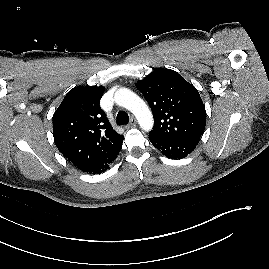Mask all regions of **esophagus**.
Here are the masks:
<instances>
[{
	"instance_id": "34e87169",
	"label": "esophagus",
	"mask_w": 269,
	"mask_h": 269,
	"mask_svg": "<svg viewBox=\"0 0 269 269\" xmlns=\"http://www.w3.org/2000/svg\"><path fill=\"white\" fill-rule=\"evenodd\" d=\"M136 123H137L136 119L134 117H132L130 120V123L128 125H126V128H132V127L136 126Z\"/></svg>"
}]
</instances>
